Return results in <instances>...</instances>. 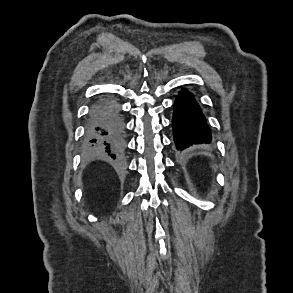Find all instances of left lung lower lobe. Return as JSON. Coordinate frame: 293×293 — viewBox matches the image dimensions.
<instances>
[{"mask_svg": "<svg viewBox=\"0 0 293 293\" xmlns=\"http://www.w3.org/2000/svg\"><path fill=\"white\" fill-rule=\"evenodd\" d=\"M172 125L177 150L194 144L210 143L212 140L198 103L186 89H182L176 98Z\"/></svg>", "mask_w": 293, "mask_h": 293, "instance_id": "obj_1", "label": "left lung lower lobe"}]
</instances>
